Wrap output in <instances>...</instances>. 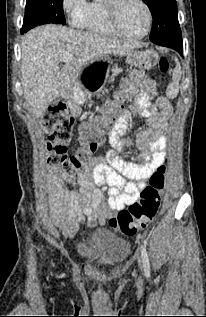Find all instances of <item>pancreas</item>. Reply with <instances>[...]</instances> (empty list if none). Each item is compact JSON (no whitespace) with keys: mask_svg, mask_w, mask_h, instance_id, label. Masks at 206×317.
<instances>
[{"mask_svg":"<svg viewBox=\"0 0 206 317\" xmlns=\"http://www.w3.org/2000/svg\"><path fill=\"white\" fill-rule=\"evenodd\" d=\"M119 73H120V71H119V70H116V74L111 76V79L109 80V82H113L114 77L117 76ZM112 87H113V86H112ZM99 90H100V91H102V90H103V91H108V90L112 91L113 89H112V88H110V89H108V88H103V89L100 88ZM100 93H103V92H100Z\"/></svg>","mask_w":206,"mask_h":317,"instance_id":"cf45deb5","label":"pancreas"}]
</instances>
